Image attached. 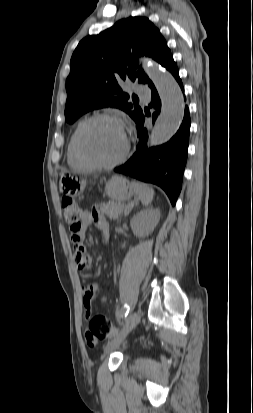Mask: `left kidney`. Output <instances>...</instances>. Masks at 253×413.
<instances>
[{
  "label": "left kidney",
  "mask_w": 253,
  "mask_h": 413,
  "mask_svg": "<svg viewBox=\"0 0 253 413\" xmlns=\"http://www.w3.org/2000/svg\"><path fill=\"white\" fill-rule=\"evenodd\" d=\"M160 220L158 209L143 210L131 220L130 226L134 234L144 237L151 234Z\"/></svg>",
  "instance_id": "1"
}]
</instances>
